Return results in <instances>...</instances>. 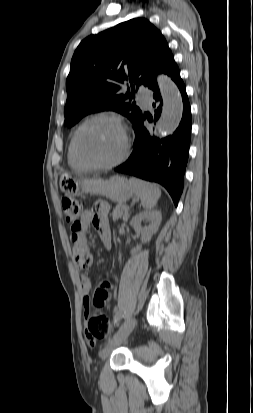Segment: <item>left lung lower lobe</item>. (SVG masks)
<instances>
[{
    "instance_id": "0a47b994",
    "label": "left lung lower lobe",
    "mask_w": 253,
    "mask_h": 413,
    "mask_svg": "<svg viewBox=\"0 0 253 413\" xmlns=\"http://www.w3.org/2000/svg\"><path fill=\"white\" fill-rule=\"evenodd\" d=\"M163 72L172 78L181 93L183 102L181 122L172 135L160 140L145 127L146 119L151 122L152 117L146 113L141 114L133 123L134 150L128 160L115 168V171L160 183L168 190L177 206L183 191L185 168L189 156L192 126L191 109L185 85L173 56ZM150 89L153 91L155 99L153 106L156 107L154 116L156 122L160 117L163 101L157 82H154Z\"/></svg>"
}]
</instances>
